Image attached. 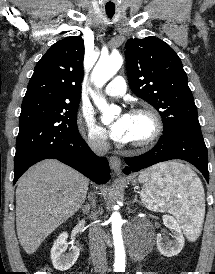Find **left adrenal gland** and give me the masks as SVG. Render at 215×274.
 <instances>
[{"mask_svg": "<svg viewBox=\"0 0 215 274\" xmlns=\"http://www.w3.org/2000/svg\"><path fill=\"white\" fill-rule=\"evenodd\" d=\"M135 202H138L137 195H135V198L132 203L134 204Z\"/></svg>", "mask_w": 215, "mask_h": 274, "instance_id": "1", "label": "left adrenal gland"}]
</instances>
